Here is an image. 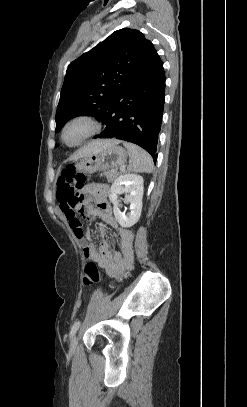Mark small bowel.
Instances as JSON below:
<instances>
[{
  "label": "small bowel",
  "mask_w": 247,
  "mask_h": 407,
  "mask_svg": "<svg viewBox=\"0 0 247 407\" xmlns=\"http://www.w3.org/2000/svg\"><path fill=\"white\" fill-rule=\"evenodd\" d=\"M108 186L104 184H90L85 189L82 200L76 202L61 203L60 208L64 213L74 236L83 248L84 256L95 262L104 269L111 278H118L125 270L132 269L133 254V234L130 230L120 227L113 217L112 206L107 199ZM95 202V205L91 204ZM78 215L87 220L99 217L107 225L116 230L118 237L119 251L113 253L108 241L105 239L107 231L100 227L99 235L101 241L99 248L92 244V237L89 232H84Z\"/></svg>",
  "instance_id": "obj_1"
}]
</instances>
